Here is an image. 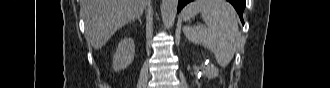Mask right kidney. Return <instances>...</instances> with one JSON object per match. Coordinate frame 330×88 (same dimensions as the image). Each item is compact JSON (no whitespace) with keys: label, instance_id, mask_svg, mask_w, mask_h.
Instances as JSON below:
<instances>
[{"label":"right kidney","instance_id":"right-kidney-1","mask_svg":"<svg viewBox=\"0 0 330 88\" xmlns=\"http://www.w3.org/2000/svg\"><path fill=\"white\" fill-rule=\"evenodd\" d=\"M135 55L134 41L130 37L122 39L113 55L112 67L115 71H120L129 66Z\"/></svg>","mask_w":330,"mask_h":88}]
</instances>
